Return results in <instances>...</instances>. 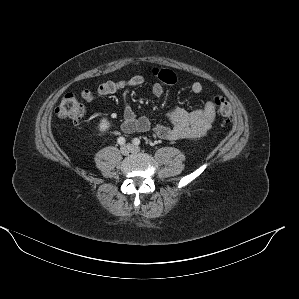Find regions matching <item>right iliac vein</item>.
<instances>
[{
	"instance_id": "obj_1",
	"label": "right iliac vein",
	"mask_w": 299,
	"mask_h": 299,
	"mask_svg": "<svg viewBox=\"0 0 299 299\" xmlns=\"http://www.w3.org/2000/svg\"><path fill=\"white\" fill-rule=\"evenodd\" d=\"M122 155H128L131 152V148L128 145H124L120 148Z\"/></svg>"
}]
</instances>
